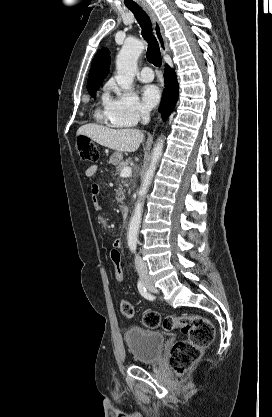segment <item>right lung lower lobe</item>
I'll return each instance as SVG.
<instances>
[{
    "label": "right lung lower lobe",
    "instance_id": "1",
    "mask_svg": "<svg viewBox=\"0 0 272 417\" xmlns=\"http://www.w3.org/2000/svg\"><path fill=\"white\" fill-rule=\"evenodd\" d=\"M165 89L161 100L160 110L162 111V118H166L173 111L178 98V82L173 69L169 66L165 69Z\"/></svg>",
    "mask_w": 272,
    "mask_h": 417
}]
</instances>
